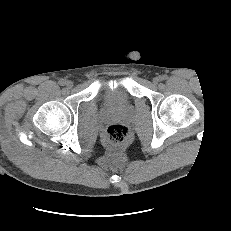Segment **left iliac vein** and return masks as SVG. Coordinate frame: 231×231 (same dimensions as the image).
Returning a JSON list of instances; mask_svg holds the SVG:
<instances>
[{
	"label": "left iliac vein",
	"instance_id": "1",
	"mask_svg": "<svg viewBox=\"0 0 231 231\" xmlns=\"http://www.w3.org/2000/svg\"><path fill=\"white\" fill-rule=\"evenodd\" d=\"M159 82H160V78L159 77L153 78V83L154 84H158Z\"/></svg>",
	"mask_w": 231,
	"mask_h": 231
}]
</instances>
